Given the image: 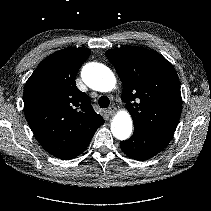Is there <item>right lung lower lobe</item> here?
I'll return each instance as SVG.
<instances>
[{
  "instance_id": "right-lung-lower-lobe-1",
  "label": "right lung lower lobe",
  "mask_w": 211,
  "mask_h": 211,
  "mask_svg": "<svg viewBox=\"0 0 211 211\" xmlns=\"http://www.w3.org/2000/svg\"><path fill=\"white\" fill-rule=\"evenodd\" d=\"M89 142H90V140L87 141L86 143L82 144L78 149H76L72 153L62 157L61 159L69 160V159L75 158L76 156L80 155L87 148V146L89 145Z\"/></svg>"
}]
</instances>
